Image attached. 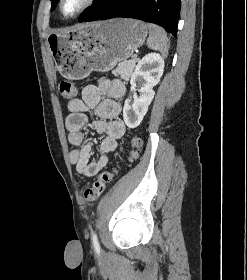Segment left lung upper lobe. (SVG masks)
<instances>
[{"mask_svg":"<svg viewBox=\"0 0 247 280\" xmlns=\"http://www.w3.org/2000/svg\"><path fill=\"white\" fill-rule=\"evenodd\" d=\"M57 0H52V8L51 10H54V6L56 4ZM108 0H97L96 4L89 7V9L83 14V16L89 14L90 12L94 11L95 9H97L98 7L102 6L103 4H105Z\"/></svg>","mask_w":247,"mask_h":280,"instance_id":"5c2ea615","label":"left lung upper lobe"}]
</instances>
